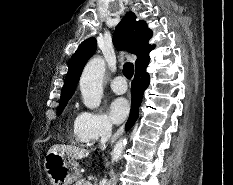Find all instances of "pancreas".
Masks as SVG:
<instances>
[{
    "instance_id": "cf45deb5",
    "label": "pancreas",
    "mask_w": 233,
    "mask_h": 185,
    "mask_svg": "<svg viewBox=\"0 0 233 185\" xmlns=\"http://www.w3.org/2000/svg\"><path fill=\"white\" fill-rule=\"evenodd\" d=\"M88 181L85 179H78L75 185H87Z\"/></svg>"
}]
</instances>
